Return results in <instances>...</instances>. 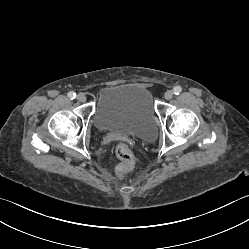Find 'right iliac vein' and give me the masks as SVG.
Here are the masks:
<instances>
[{"label": "right iliac vein", "instance_id": "obj_1", "mask_svg": "<svg viewBox=\"0 0 249 249\" xmlns=\"http://www.w3.org/2000/svg\"><path fill=\"white\" fill-rule=\"evenodd\" d=\"M77 100L79 102H85L86 101V96L84 94L80 93V94L77 95Z\"/></svg>", "mask_w": 249, "mask_h": 249}]
</instances>
